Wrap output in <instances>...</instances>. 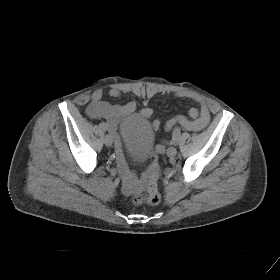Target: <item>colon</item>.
Here are the masks:
<instances>
[{
	"label": "colon",
	"instance_id": "5ec220e1",
	"mask_svg": "<svg viewBox=\"0 0 280 280\" xmlns=\"http://www.w3.org/2000/svg\"><path fill=\"white\" fill-rule=\"evenodd\" d=\"M160 175V166L156 154L151 156L150 166L148 171V183L146 190L132 197V203L157 205L160 202L161 196L157 187V180Z\"/></svg>",
	"mask_w": 280,
	"mask_h": 280
}]
</instances>
